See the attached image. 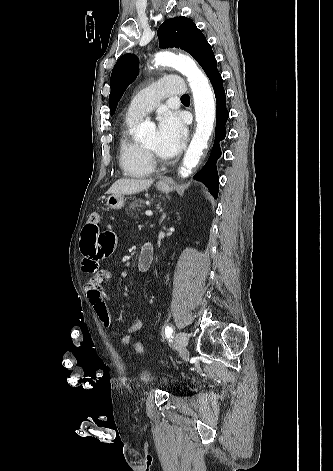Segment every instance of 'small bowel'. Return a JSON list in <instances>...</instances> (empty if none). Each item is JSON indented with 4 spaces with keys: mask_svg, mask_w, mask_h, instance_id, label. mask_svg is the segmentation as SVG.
Returning a JSON list of instances; mask_svg holds the SVG:
<instances>
[{
    "mask_svg": "<svg viewBox=\"0 0 333 471\" xmlns=\"http://www.w3.org/2000/svg\"><path fill=\"white\" fill-rule=\"evenodd\" d=\"M115 244L116 239L112 232H100L98 224L93 225L89 221L84 226L80 249L83 256L82 269L88 275L85 283V293L96 316L105 327L112 325V318L105 301L109 295L104 291L102 285L110 283L112 275L109 270L100 266V261L113 251ZM141 326L140 320H134L128 328V333L121 336V345H129L131 342L130 334L139 331Z\"/></svg>",
    "mask_w": 333,
    "mask_h": 471,
    "instance_id": "c3829d8e",
    "label": "small bowel"
}]
</instances>
